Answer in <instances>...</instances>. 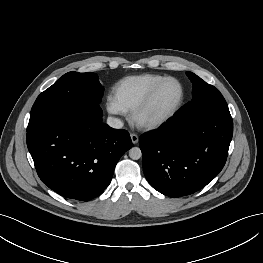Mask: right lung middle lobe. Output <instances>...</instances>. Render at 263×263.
Listing matches in <instances>:
<instances>
[{
  "label": "right lung middle lobe",
  "mask_w": 263,
  "mask_h": 263,
  "mask_svg": "<svg viewBox=\"0 0 263 263\" xmlns=\"http://www.w3.org/2000/svg\"><path fill=\"white\" fill-rule=\"evenodd\" d=\"M103 91L95 73H66L36 99L27 132L40 128L62 113L76 114L87 105H98Z\"/></svg>",
  "instance_id": "right-lung-middle-lobe-1"
}]
</instances>
